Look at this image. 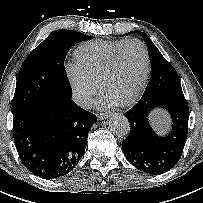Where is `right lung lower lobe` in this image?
I'll use <instances>...</instances> for the list:
<instances>
[{"instance_id": "1", "label": "right lung lower lobe", "mask_w": 203, "mask_h": 203, "mask_svg": "<svg viewBox=\"0 0 203 203\" xmlns=\"http://www.w3.org/2000/svg\"><path fill=\"white\" fill-rule=\"evenodd\" d=\"M96 115L71 98L36 104L13 118V137L24 166L43 179L71 172L83 156Z\"/></svg>"}]
</instances>
